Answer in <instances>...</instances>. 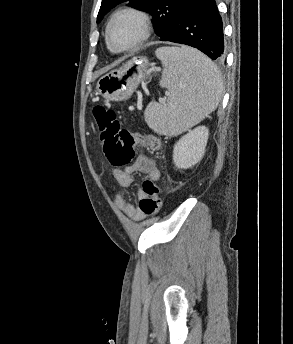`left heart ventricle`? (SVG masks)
Here are the masks:
<instances>
[{"mask_svg":"<svg viewBox=\"0 0 293 344\" xmlns=\"http://www.w3.org/2000/svg\"><path fill=\"white\" fill-rule=\"evenodd\" d=\"M138 22L131 16L118 18L110 29V39L114 47L121 48L135 42L139 37Z\"/></svg>","mask_w":293,"mask_h":344,"instance_id":"obj_1","label":"left heart ventricle"}]
</instances>
